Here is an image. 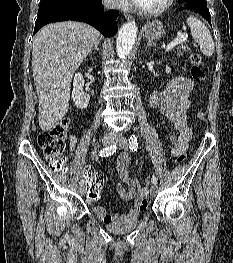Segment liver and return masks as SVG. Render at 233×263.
<instances>
[{
    "mask_svg": "<svg viewBox=\"0 0 233 263\" xmlns=\"http://www.w3.org/2000/svg\"><path fill=\"white\" fill-rule=\"evenodd\" d=\"M99 36L92 26L76 21L48 24L35 35L32 70L43 131L51 130L68 112L73 74Z\"/></svg>",
    "mask_w": 233,
    "mask_h": 263,
    "instance_id": "liver-1",
    "label": "liver"
}]
</instances>
